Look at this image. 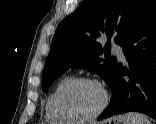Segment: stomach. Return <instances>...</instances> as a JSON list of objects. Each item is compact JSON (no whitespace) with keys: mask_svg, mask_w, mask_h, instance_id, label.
Masks as SVG:
<instances>
[{"mask_svg":"<svg viewBox=\"0 0 156 124\" xmlns=\"http://www.w3.org/2000/svg\"><path fill=\"white\" fill-rule=\"evenodd\" d=\"M127 124L126 120L122 116L114 117L108 121V124Z\"/></svg>","mask_w":156,"mask_h":124,"instance_id":"1","label":"stomach"}]
</instances>
